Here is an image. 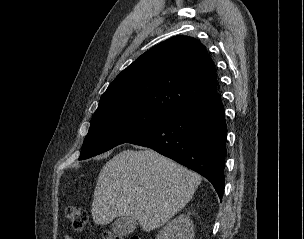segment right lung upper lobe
<instances>
[{
  "instance_id": "right-lung-upper-lobe-1",
  "label": "right lung upper lobe",
  "mask_w": 304,
  "mask_h": 239,
  "mask_svg": "<svg viewBox=\"0 0 304 239\" xmlns=\"http://www.w3.org/2000/svg\"><path fill=\"white\" fill-rule=\"evenodd\" d=\"M217 92L215 66L206 48L175 36L151 48L109 85L94 115L121 108H148L167 115Z\"/></svg>"
}]
</instances>
